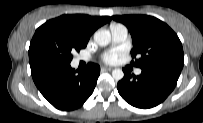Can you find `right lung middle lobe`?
I'll list each match as a JSON object with an SVG mask.
<instances>
[{
	"mask_svg": "<svg viewBox=\"0 0 203 123\" xmlns=\"http://www.w3.org/2000/svg\"><path fill=\"white\" fill-rule=\"evenodd\" d=\"M86 45L69 27L47 21L36 30L30 42L29 61L54 60L70 63L72 54Z\"/></svg>",
	"mask_w": 203,
	"mask_h": 123,
	"instance_id": "obj_1",
	"label": "right lung middle lobe"
}]
</instances>
